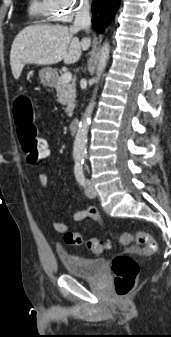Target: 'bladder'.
I'll return each instance as SVG.
<instances>
[{
    "mask_svg": "<svg viewBox=\"0 0 171 337\" xmlns=\"http://www.w3.org/2000/svg\"><path fill=\"white\" fill-rule=\"evenodd\" d=\"M67 274L81 278L93 279L101 276L105 269L103 258H87L69 253L60 255Z\"/></svg>",
    "mask_w": 171,
    "mask_h": 337,
    "instance_id": "bladder-1",
    "label": "bladder"
}]
</instances>
